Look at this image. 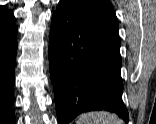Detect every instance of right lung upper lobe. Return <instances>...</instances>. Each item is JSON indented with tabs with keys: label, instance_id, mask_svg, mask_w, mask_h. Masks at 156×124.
Segmentation results:
<instances>
[{
	"label": "right lung upper lobe",
	"instance_id": "1",
	"mask_svg": "<svg viewBox=\"0 0 156 124\" xmlns=\"http://www.w3.org/2000/svg\"><path fill=\"white\" fill-rule=\"evenodd\" d=\"M15 26L13 15L7 10L6 7L0 6V28H8Z\"/></svg>",
	"mask_w": 156,
	"mask_h": 124
}]
</instances>
